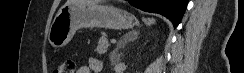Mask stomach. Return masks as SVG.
Segmentation results:
<instances>
[{
  "label": "stomach",
  "instance_id": "1",
  "mask_svg": "<svg viewBox=\"0 0 244 73\" xmlns=\"http://www.w3.org/2000/svg\"><path fill=\"white\" fill-rule=\"evenodd\" d=\"M138 23L136 17L111 5L85 1L65 4L56 14L48 34L54 48L67 45L79 28L131 29Z\"/></svg>",
  "mask_w": 244,
  "mask_h": 73
}]
</instances>
